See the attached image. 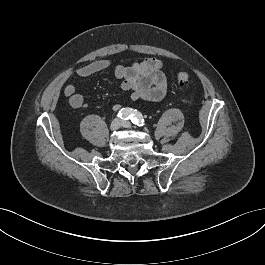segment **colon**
<instances>
[{"instance_id":"5ec220e1","label":"colon","mask_w":265,"mask_h":265,"mask_svg":"<svg viewBox=\"0 0 265 265\" xmlns=\"http://www.w3.org/2000/svg\"><path fill=\"white\" fill-rule=\"evenodd\" d=\"M177 83H178L179 87H181V88H185V87L189 86L191 83V78H190L189 74L186 72H179L177 74Z\"/></svg>"}]
</instances>
